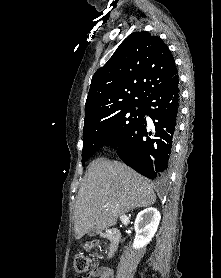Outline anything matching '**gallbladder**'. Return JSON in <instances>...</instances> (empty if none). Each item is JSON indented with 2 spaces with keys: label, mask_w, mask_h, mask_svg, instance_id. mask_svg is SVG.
I'll use <instances>...</instances> for the list:
<instances>
[{
  "label": "gallbladder",
  "mask_w": 221,
  "mask_h": 278,
  "mask_svg": "<svg viewBox=\"0 0 221 278\" xmlns=\"http://www.w3.org/2000/svg\"><path fill=\"white\" fill-rule=\"evenodd\" d=\"M94 234H95V231L89 232V235H90V236H93Z\"/></svg>",
  "instance_id": "gallbladder-1"
}]
</instances>
